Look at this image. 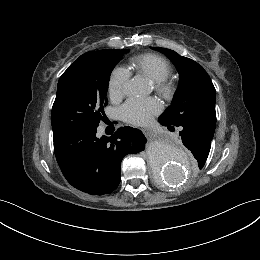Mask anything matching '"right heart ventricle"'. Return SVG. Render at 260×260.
<instances>
[{"label": "right heart ventricle", "instance_id": "obj_1", "mask_svg": "<svg viewBox=\"0 0 260 260\" xmlns=\"http://www.w3.org/2000/svg\"><path fill=\"white\" fill-rule=\"evenodd\" d=\"M133 68L153 82L167 79L172 73L170 63L162 56L147 53L135 56L130 60Z\"/></svg>", "mask_w": 260, "mask_h": 260}]
</instances>
